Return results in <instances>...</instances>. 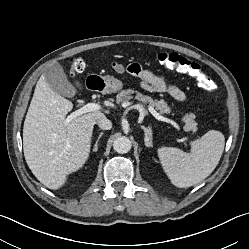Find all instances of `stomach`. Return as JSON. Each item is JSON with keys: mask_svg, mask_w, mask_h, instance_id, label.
<instances>
[{"mask_svg": "<svg viewBox=\"0 0 249 249\" xmlns=\"http://www.w3.org/2000/svg\"><path fill=\"white\" fill-rule=\"evenodd\" d=\"M91 78H97L99 81L98 90L105 94L116 93L123 88V83L114 76H90Z\"/></svg>", "mask_w": 249, "mask_h": 249, "instance_id": "obj_1", "label": "stomach"}]
</instances>
